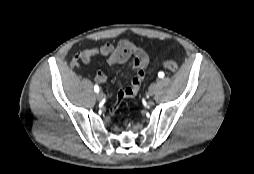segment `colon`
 Here are the masks:
<instances>
[{
	"instance_id": "1",
	"label": "colon",
	"mask_w": 254,
	"mask_h": 174,
	"mask_svg": "<svg viewBox=\"0 0 254 174\" xmlns=\"http://www.w3.org/2000/svg\"><path fill=\"white\" fill-rule=\"evenodd\" d=\"M79 60H82V56L81 54L80 55H77L74 57L73 59V62L76 63L78 62ZM163 67L170 71V72H176L178 70V65L175 61L173 60H166L163 62Z\"/></svg>"
}]
</instances>
